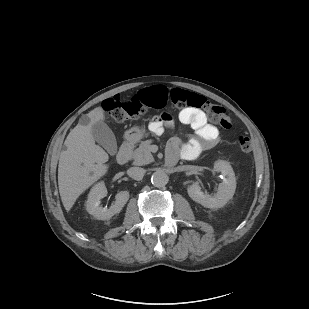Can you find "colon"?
I'll return each instance as SVG.
<instances>
[{
    "label": "colon",
    "mask_w": 309,
    "mask_h": 309,
    "mask_svg": "<svg viewBox=\"0 0 309 309\" xmlns=\"http://www.w3.org/2000/svg\"><path fill=\"white\" fill-rule=\"evenodd\" d=\"M169 101L177 108L189 107L204 110L209 118L222 128L229 129L232 126V120L227 111L211 103L205 96L181 88L168 89L161 85L145 89L129 100H122L119 96L106 99L102 108L115 121L123 122L139 117L149 109L161 110ZM237 144L242 152L251 150V140L247 136H238Z\"/></svg>",
    "instance_id": "5ec220e1"
}]
</instances>
